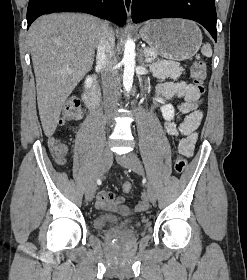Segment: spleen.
Returning a JSON list of instances; mask_svg holds the SVG:
<instances>
[{"label": "spleen", "mask_w": 247, "mask_h": 280, "mask_svg": "<svg viewBox=\"0 0 247 280\" xmlns=\"http://www.w3.org/2000/svg\"><path fill=\"white\" fill-rule=\"evenodd\" d=\"M201 53L206 56V57H211L212 56V49L209 43H206L203 45L201 49Z\"/></svg>", "instance_id": "3e777b00"}]
</instances>
